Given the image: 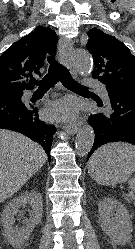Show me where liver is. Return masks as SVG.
Here are the masks:
<instances>
[{"label": "liver", "instance_id": "1", "mask_svg": "<svg viewBox=\"0 0 135 249\" xmlns=\"http://www.w3.org/2000/svg\"><path fill=\"white\" fill-rule=\"evenodd\" d=\"M46 161L41 145L19 133L0 129V203L19 191Z\"/></svg>", "mask_w": 135, "mask_h": 249}]
</instances>
